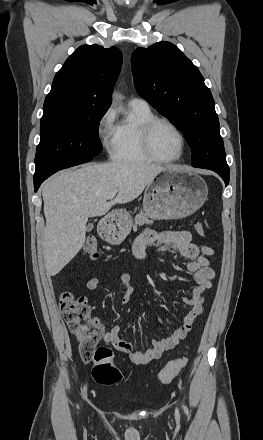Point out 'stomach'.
Here are the masks:
<instances>
[{"instance_id":"stomach-1","label":"stomach","mask_w":263,"mask_h":440,"mask_svg":"<svg viewBox=\"0 0 263 440\" xmlns=\"http://www.w3.org/2000/svg\"><path fill=\"white\" fill-rule=\"evenodd\" d=\"M208 187L197 174L183 169L164 170L146 188L143 210L155 219H182L196 212L206 201ZM121 220L104 232L111 244H120L129 234L131 221L126 212L118 215Z\"/></svg>"}]
</instances>
